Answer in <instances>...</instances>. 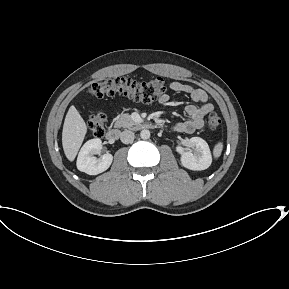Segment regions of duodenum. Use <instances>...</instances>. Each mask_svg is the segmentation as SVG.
Masks as SVG:
<instances>
[{
    "mask_svg": "<svg viewBox=\"0 0 289 289\" xmlns=\"http://www.w3.org/2000/svg\"><path fill=\"white\" fill-rule=\"evenodd\" d=\"M120 137V130L117 128H113L110 129L107 133H106V139L109 142H115L119 139Z\"/></svg>",
    "mask_w": 289,
    "mask_h": 289,
    "instance_id": "duodenum-1",
    "label": "duodenum"
}]
</instances>
